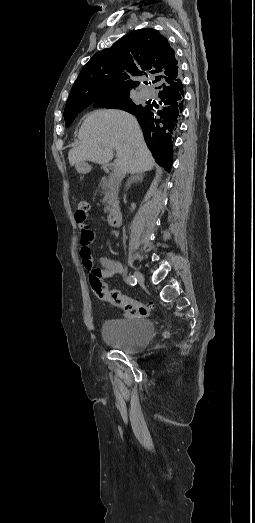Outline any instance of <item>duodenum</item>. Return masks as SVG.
Wrapping results in <instances>:
<instances>
[{
    "mask_svg": "<svg viewBox=\"0 0 255 523\" xmlns=\"http://www.w3.org/2000/svg\"><path fill=\"white\" fill-rule=\"evenodd\" d=\"M107 222L112 227L120 226L122 222V214L119 208H114L110 211V213L107 216Z\"/></svg>",
    "mask_w": 255,
    "mask_h": 523,
    "instance_id": "obj_1",
    "label": "duodenum"
}]
</instances>
